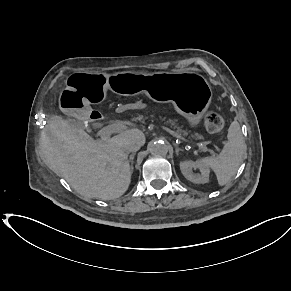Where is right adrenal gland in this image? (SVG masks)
I'll use <instances>...</instances> for the list:
<instances>
[{"mask_svg":"<svg viewBox=\"0 0 291 291\" xmlns=\"http://www.w3.org/2000/svg\"><path fill=\"white\" fill-rule=\"evenodd\" d=\"M134 156H135V153H132V154L129 156V161H130V163H131V166H130L131 173L133 172V169H134V166H133Z\"/></svg>","mask_w":291,"mask_h":291,"instance_id":"obj_1","label":"right adrenal gland"}]
</instances>
